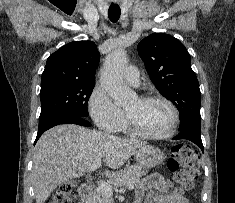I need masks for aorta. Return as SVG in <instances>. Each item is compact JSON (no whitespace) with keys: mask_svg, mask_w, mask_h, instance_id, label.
<instances>
[{"mask_svg":"<svg viewBox=\"0 0 235 203\" xmlns=\"http://www.w3.org/2000/svg\"><path fill=\"white\" fill-rule=\"evenodd\" d=\"M126 64V52L123 48H118L108 54L101 70V85L117 105L126 104L131 94L123 82Z\"/></svg>","mask_w":235,"mask_h":203,"instance_id":"aorta-1","label":"aorta"}]
</instances>
